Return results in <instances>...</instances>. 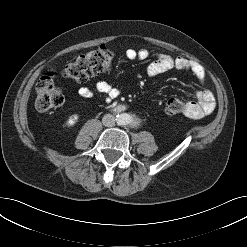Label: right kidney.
<instances>
[{"instance_id":"ca27d5eb","label":"right kidney","mask_w":247,"mask_h":247,"mask_svg":"<svg viewBox=\"0 0 247 247\" xmlns=\"http://www.w3.org/2000/svg\"><path fill=\"white\" fill-rule=\"evenodd\" d=\"M79 116L77 114H74L72 116L69 117V119L67 120V125L68 126H73L76 124L77 120H78Z\"/></svg>"}]
</instances>
